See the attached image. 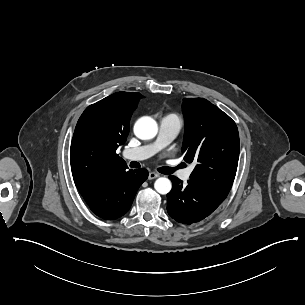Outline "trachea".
<instances>
[{
  "label": "trachea",
  "instance_id": "trachea-1",
  "mask_svg": "<svg viewBox=\"0 0 305 305\" xmlns=\"http://www.w3.org/2000/svg\"><path fill=\"white\" fill-rule=\"evenodd\" d=\"M179 168H182V166L181 165H179L178 166ZM157 171L158 172H160V173H162V174H171L173 171H174V169L173 168H171V167H161V168H157Z\"/></svg>",
  "mask_w": 305,
  "mask_h": 305
}]
</instances>
